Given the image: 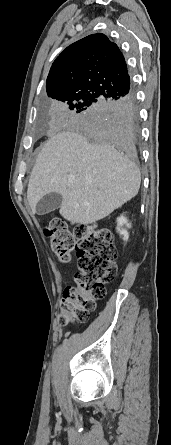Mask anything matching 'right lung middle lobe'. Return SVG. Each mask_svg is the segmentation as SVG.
Returning <instances> with one entry per match:
<instances>
[{
  "label": "right lung middle lobe",
  "mask_w": 171,
  "mask_h": 445,
  "mask_svg": "<svg viewBox=\"0 0 171 445\" xmlns=\"http://www.w3.org/2000/svg\"><path fill=\"white\" fill-rule=\"evenodd\" d=\"M55 100L67 104L68 109L72 111L68 115L69 119L84 126L94 125L95 114L106 102L104 97L92 91H68ZM90 135L93 138H98L96 130L90 131Z\"/></svg>",
  "instance_id": "dd1d6c3e"
}]
</instances>
